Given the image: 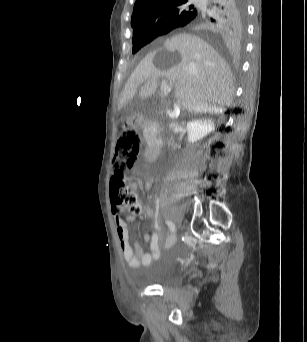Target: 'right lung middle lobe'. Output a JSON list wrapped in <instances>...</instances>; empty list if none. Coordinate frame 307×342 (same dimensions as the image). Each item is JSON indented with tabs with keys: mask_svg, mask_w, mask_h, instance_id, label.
<instances>
[{
	"mask_svg": "<svg viewBox=\"0 0 307 342\" xmlns=\"http://www.w3.org/2000/svg\"><path fill=\"white\" fill-rule=\"evenodd\" d=\"M168 33V31H154V32H144L133 35V49L132 53H136L139 51L143 46L154 40L156 37L164 35Z\"/></svg>",
	"mask_w": 307,
	"mask_h": 342,
	"instance_id": "1",
	"label": "right lung middle lobe"
}]
</instances>
